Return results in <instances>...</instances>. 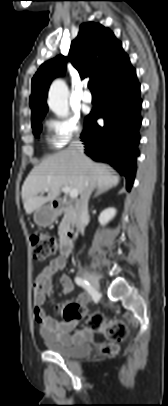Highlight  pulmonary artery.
Wrapping results in <instances>:
<instances>
[{
	"mask_svg": "<svg viewBox=\"0 0 168 406\" xmlns=\"http://www.w3.org/2000/svg\"><path fill=\"white\" fill-rule=\"evenodd\" d=\"M81 99L85 103H91L93 100L91 93L87 89L83 91Z\"/></svg>",
	"mask_w": 168,
	"mask_h": 406,
	"instance_id": "e3ab8cb5",
	"label": "pulmonary artery"
}]
</instances>
